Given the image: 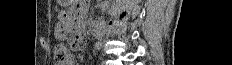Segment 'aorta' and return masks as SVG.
I'll return each instance as SVG.
<instances>
[{
  "label": "aorta",
  "mask_w": 232,
  "mask_h": 65,
  "mask_svg": "<svg viewBox=\"0 0 232 65\" xmlns=\"http://www.w3.org/2000/svg\"><path fill=\"white\" fill-rule=\"evenodd\" d=\"M93 13H94V11H93V8H92V9H91V13H90V15H89V17H88V20H87L88 27H89V30H90V31L92 30V28H93V26H94Z\"/></svg>",
  "instance_id": "aorta-1"
}]
</instances>
